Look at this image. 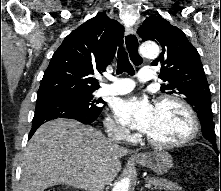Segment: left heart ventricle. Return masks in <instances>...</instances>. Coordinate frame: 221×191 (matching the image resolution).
Returning a JSON list of instances; mask_svg holds the SVG:
<instances>
[{
    "label": "left heart ventricle",
    "mask_w": 221,
    "mask_h": 191,
    "mask_svg": "<svg viewBox=\"0 0 221 191\" xmlns=\"http://www.w3.org/2000/svg\"><path fill=\"white\" fill-rule=\"evenodd\" d=\"M190 129L186 112L178 105L165 102L155 107V116L147 135L160 141H175L184 137Z\"/></svg>",
    "instance_id": "b2bd125f"
}]
</instances>
